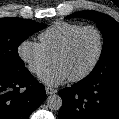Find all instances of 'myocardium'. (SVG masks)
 I'll return each mask as SVG.
<instances>
[{
    "label": "myocardium",
    "instance_id": "f54148a6",
    "mask_svg": "<svg viewBox=\"0 0 119 119\" xmlns=\"http://www.w3.org/2000/svg\"><path fill=\"white\" fill-rule=\"evenodd\" d=\"M85 31H93L96 33L97 37H98V51L97 54L93 60V62L90 64V66L81 74L75 76V77H71L69 78V80L71 82H79L84 80L85 78H87L97 67V65L99 64L101 57L103 55V51H104V38L103 35L101 33V31L95 27V26H83L80 29H78L77 31H75L69 38L68 40L65 42V44L58 50V52L55 54V56L53 57V62L55 63L56 60L63 56L64 54H66L72 47V45L74 44L75 40L77 39V37L85 32Z\"/></svg>",
    "mask_w": 119,
    "mask_h": 119
}]
</instances>
